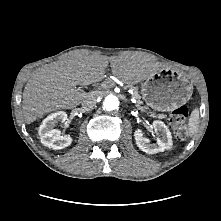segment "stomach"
I'll list each match as a JSON object with an SVG mask.
<instances>
[{
	"label": "stomach",
	"mask_w": 221,
	"mask_h": 221,
	"mask_svg": "<svg viewBox=\"0 0 221 221\" xmlns=\"http://www.w3.org/2000/svg\"><path fill=\"white\" fill-rule=\"evenodd\" d=\"M141 94L149 107L167 112L189 100L192 84L181 73L158 71L148 76L142 83Z\"/></svg>",
	"instance_id": "stomach-1"
}]
</instances>
